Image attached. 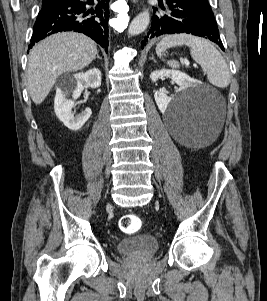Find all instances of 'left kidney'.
Here are the masks:
<instances>
[{"label":"left kidney","instance_id":"left-kidney-1","mask_svg":"<svg viewBox=\"0 0 267 301\" xmlns=\"http://www.w3.org/2000/svg\"><path fill=\"white\" fill-rule=\"evenodd\" d=\"M164 77L172 79L177 85H179V90H187L190 87H193L195 83L198 81L192 79L188 75L176 71V70H158L154 71L150 74V79L152 82H156L158 79H162ZM154 98L156 104L160 111L165 112L167 107L169 106L170 102L172 101L171 97H168L165 93L156 91L154 94Z\"/></svg>","mask_w":267,"mask_h":301}]
</instances>
